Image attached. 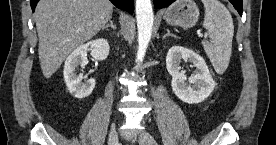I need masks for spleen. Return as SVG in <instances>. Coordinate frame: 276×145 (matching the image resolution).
Here are the masks:
<instances>
[{
  "mask_svg": "<svg viewBox=\"0 0 276 145\" xmlns=\"http://www.w3.org/2000/svg\"><path fill=\"white\" fill-rule=\"evenodd\" d=\"M205 17L203 26L207 29L210 42H202L215 71L223 74L230 61L234 25L229 10L218 0H203Z\"/></svg>",
  "mask_w": 276,
  "mask_h": 145,
  "instance_id": "spleen-1",
  "label": "spleen"
}]
</instances>
